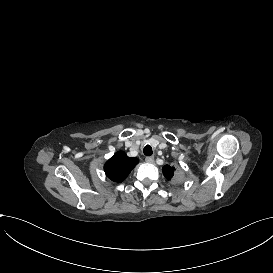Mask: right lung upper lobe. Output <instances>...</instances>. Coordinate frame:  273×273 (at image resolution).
<instances>
[{"label":"right lung upper lobe","instance_id":"obj_1","mask_svg":"<svg viewBox=\"0 0 273 273\" xmlns=\"http://www.w3.org/2000/svg\"><path fill=\"white\" fill-rule=\"evenodd\" d=\"M137 158H130L124 152H117L104 166L108 178L114 182H122L137 165Z\"/></svg>","mask_w":273,"mask_h":273}]
</instances>
